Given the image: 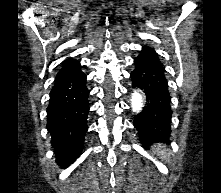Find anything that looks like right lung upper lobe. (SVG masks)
Returning a JSON list of instances; mask_svg holds the SVG:
<instances>
[{"instance_id": "right-lung-upper-lobe-1", "label": "right lung upper lobe", "mask_w": 221, "mask_h": 193, "mask_svg": "<svg viewBox=\"0 0 221 193\" xmlns=\"http://www.w3.org/2000/svg\"><path fill=\"white\" fill-rule=\"evenodd\" d=\"M78 66H80V64L77 61H75L74 59H72V58L66 59L63 62V66L60 69L59 73L70 71L72 69L77 68Z\"/></svg>"}]
</instances>
